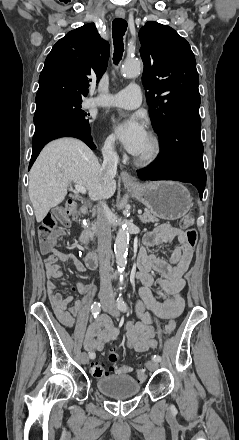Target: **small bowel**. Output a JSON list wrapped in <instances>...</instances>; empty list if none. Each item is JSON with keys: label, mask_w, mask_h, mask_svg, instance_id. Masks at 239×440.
<instances>
[{"label": "small bowel", "mask_w": 239, "mask_h": 440, "mask_svg": "<svg viewBox=\"0 0 239 440\" xmlns=\"http://www.w3.org/2000/svg\"><path fill=\"white\" fill-rule=\"evenodd\" d=\"M174 239L178 244L171 253L170 263L155 255L147 254L146 247L161 246ZM193 247L187 242L185 232L169 224L159 225L144 236L138 255L139 270L136 274V280L140 285V300L136 305V312L141 322L127 324V345L131 350L145 352L156 346L155 329L149 311L162 320L177 317L182 313L184 274L192 260ZM45 253L46 288L53 309L63 325L72 327L75 324L74 316L82 310L83 304L77 303L69 311L67 310L73 297H64L56 291L59 285H63V282H57L62 277L59 263L71 261L79 272L85 271V266L74 255L67 252L52 249ZM152 271L160 273L162 278H154ZM152 286H156L155 294L150 290ZM71 289L81 290L87 295L91 292L90 288L83 286L80 282H76ZM97 317L88 325L84 337V348L93 354L102 350L119 334L110 316L102 314Z\"/></svg>", "instance_id": "obj_1"}]
</instances>
